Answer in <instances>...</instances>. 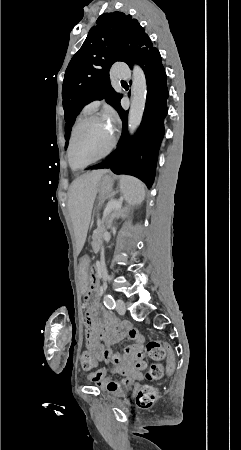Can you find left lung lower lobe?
<instances>
[{
    "mask_svg": "<svg viewBox=\"0 0 241 450\" xmlns=\"http://www.w3.org/2000/svg\"><path fill=\"white\" fill-rule=\"evenodd\" d=\"M147 80V98L141 125L134 137H128V111L121 106L118 114L123 122L122 137L117 149L106 159L88 169L110 168L115 174H129L152 186L158 150L164 136V118L167 115L168 89L166 73L159 51L151 47L136 61ZM132 68V65H130Z\"/></svg>",
    "mask_w": 241,
    "mask_h": 450,
    "instance_id": "obj_1",
    "label": "left lung lower lobe"
}]
</instances>
